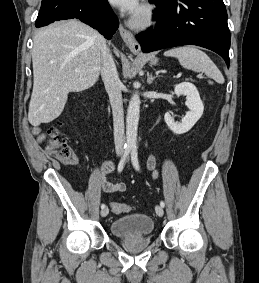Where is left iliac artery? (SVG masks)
Here are the masks:
<instances>
[{
  "label": "left iliac artery",
  "mask_w": 259,
  "mask_h": 283,
  "mask_svg": "<svg viewBox=\"0 0 259 283\" xmlns=\"http://www.w3.org/2000/svg\"><path fill=\"white\" fill-rule=\"evenodd\" d=\"M131 160H132V163H133V166L134 168L137 170V171H140V166H139V162H138V151H137V147L136 146H133L131 148ZM160 205L162 207L165 206V203L164 201H161L160 202Z\"/></svg>",
  "instance_id": "left-iliac-artery-1"
}]
</instances>
